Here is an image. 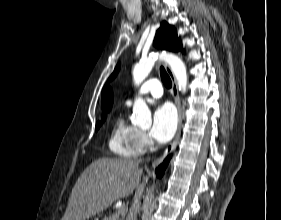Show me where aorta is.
<instances>
[{"label":"aorta","instance_id":"762f6f07","mask_svg":"<svg viewBox=\"0 0 281 220\" xmlns=\"http://www.w3.org/2000/svg\"><path fill=\"white\" fill-rule=\"evenodd\" d=\"M163 60L169 64L171 70L177 79L179 90L183 93L187 88V73L184 62L176 55L162 53L152 55L141 59L133 68V80L135 85H140L151 72L156 60ZM132 123L140 127H149L151 125V112L142 98H136L133 105Z\"/></svg>","mask_w":281,"mask_h":220}]
</instances>
